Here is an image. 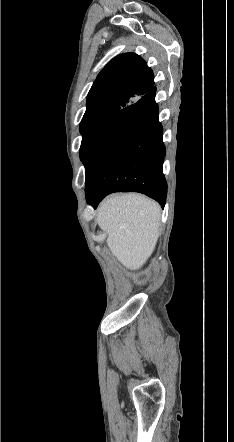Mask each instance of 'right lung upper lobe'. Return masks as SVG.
<instances>
[{"label": "right lung upper lobe", "mask_w": 234, "mask_h": 442, "mask_svg": "<svg viewBox=\"0 0 234 442\" xmlns=\"http://www.w3.org/2000/svg\"><path fill=\"white\" fill-rule=\"evenodd\" d=\"M154 85V75L146 62L135 53L113 58L98 74L88 96L83 118L119 112L135 102Z\"/></svg>", "instance_id": "cb5924a9"}]
</instances>
